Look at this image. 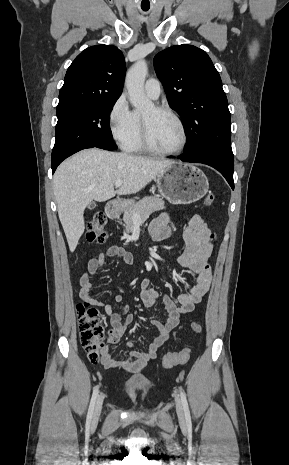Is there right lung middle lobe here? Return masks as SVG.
<instances>
[{"mask_svg":"<svg viewBox=\"0 0 289 465\" xmlns=\"http://www.w3.org/2000/svg\"><path fill=\"white\" fill-rule=\"evenodd\" d=\"M116 101L117 99H112L57 108L58 122L52 163L63 161L85 148L115 150L117 147L112 140L109 114Z\"/></svg>","mask_w":289,"mask_h":465,"instance_id":"right-lung-middle-lobe-1","label":"right lung middle lobe"}]
</instances>
